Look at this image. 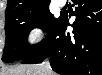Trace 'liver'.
<instances>
[{
    "label": "liver",
    "instance_id": "6515ba94",
    "mask_svg": "<svg viewBox=\"0 0 102 75\" xmlns=\"http://www.w3.org/2000/svg\"><path fill=\"white\" fill-rule=\"evenodd\" d=\"M1 75H55L45 63L33 65H20L1 70Z\"/></svg>",
    "mask_w": 102,
    "mask_h": 75
}]
</instances>
